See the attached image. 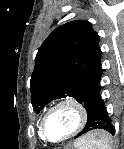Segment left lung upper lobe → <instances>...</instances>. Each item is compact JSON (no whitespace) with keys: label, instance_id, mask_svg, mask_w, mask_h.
I'll return each instance as SVG.
<instances>
[{"label":"left lung upper lobe","instance_id":"obj_1","mask_svg":"<svg viewBox=\"0 0 124 149\" xmlns=\"http://www.w3.org/2000/svg\"><path fill=\"white\" fill-rule=\"evenodd\" d=\"M99 36L85 20L56 28L43 42L31 76L33 109L39 112L54 99L73 97L86 108L100 88Z\"/></svg>","mask_w":124,"mask_h":149}]
</instances>
